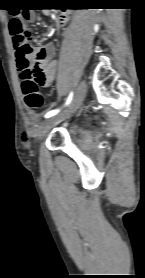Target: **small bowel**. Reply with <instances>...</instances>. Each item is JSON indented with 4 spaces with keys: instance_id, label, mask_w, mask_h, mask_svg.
<instances>
[{
    "instance_id": "c3829d8e",
    "label": "small bowel",
    "mask_w": 145,
    "mask_h": 278,
    "mask_svg": "<svg viewBox=\"0 0 145 278\" xmlns=\"http://www.w3.org/2000/svg\"><path fill=\"white\" fill-rule=\"evenodd\" d=\"M44 12L47 13L48 10L45 9ZM31 18H34V14H32ZM60 21L64 23L66 21V17L61 16ZM11 39L14 47L16 67L20 74L23 76L28 70L33 68L36 64H39L45 73V80L42 87H49L56 79L57 65L54 44L52 42H45L41 45L31 47L32 54L30 56L25 54L18 55L17 45L14 43L12 35ZM26 136H29V132H27Z\"/></svg>"
}]
</instances>
